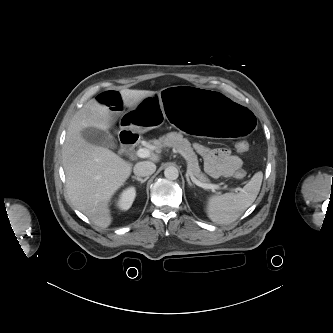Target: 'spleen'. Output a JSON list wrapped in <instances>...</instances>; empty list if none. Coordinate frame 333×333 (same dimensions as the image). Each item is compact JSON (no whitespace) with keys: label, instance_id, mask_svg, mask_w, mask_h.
<instances>
[{"label":"spleen","instance_id":"spleen-1","mask_svg":"<svg viewBox=\"0 0 333 333\" xmlns=\"http://www.w3.org/2000/svg\"><path fill=\"white\" fill-rule=\"evenodd\" d=\"M262 179L263 173L259 171L239 193L216 194L208 197L205 207L208 218L217 224H230L236 221L257 198Z\"/></svg>","mask_w":333,"mask_h":333}]
</instances>
